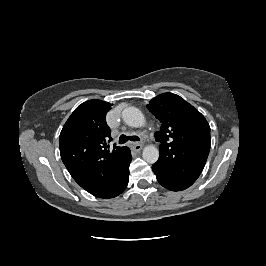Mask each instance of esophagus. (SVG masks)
Instances as JSON below:
<instances>
[{
	"mask_svg": "<svg viewBox=\"0 0 266 266\" xmlns=\"http://www.w3.org/2000/svg\"><path fill=\"white\" fill-rule=\"evenodd\" d=\"M143 145L140 143H132V148L135 151H140L142 149Z\"/></svg>",
	"mask_w": 266,
	"mask_h": 266,
	"instance_id": "esophagus-1",
	"label": "esophagus"
}]
</instances>
